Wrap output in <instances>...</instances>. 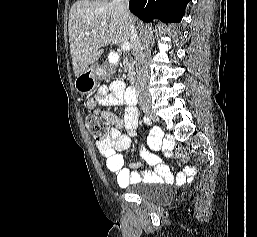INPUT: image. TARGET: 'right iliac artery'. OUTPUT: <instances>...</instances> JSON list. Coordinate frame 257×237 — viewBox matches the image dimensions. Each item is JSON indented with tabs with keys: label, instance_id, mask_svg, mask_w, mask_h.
<instances>
[{
	"label": "right iliac artery",
	"instance_id": "1",
	"mask_svg": "<svg viewBox=\"0 0 257 237\" xmlns=\"http://www.w3.org/2000/svg\"><path fill=\"white\" fill-rule=\"evenodd\" d=\"M143 120H144V122H145L146 124H150V118H149V117L144 116ZM154 131H155V129H153L151 132L154 133Z\"/></svg>",
	"mask_w": 257,
	"mask_h": 237
}]
</instances>
